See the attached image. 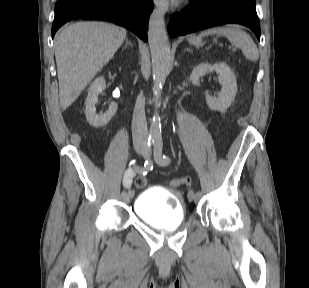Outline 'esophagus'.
<instances>
[{"label":"esophagus","mask_w":309,"mask_h":288,"mask_svg":"<svg viewBox=\"0 0 309 288\" xmlns=\"http://www.w3.org/2000/svg\"><path fill=\"white\" fill-rule=\"evenodd\" d=\"M154 4L158 7H165L167 10L166 2L164 0H153Z\"/></svg>","instance_id":"1"}]
</instances>
